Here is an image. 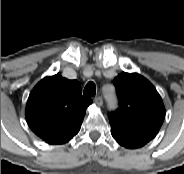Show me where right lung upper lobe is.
<instances>
[{"instance_id":"right-lung-upper-lobe-1","label":"right lung upper lobe","mask_w":184,"mask_h":174,"mask_svg":"<svg viewBox=\"0 0 184 174\" xmlns=\"http://www.w3.org/2000/svg\"><path fill=\"white\" fill-rule=\"evenodd\" d=\"M92 100L82 96L77 80L57 73L42 79L31 91L26 121L31 130L49 144H63L80 130Z\"/></svg>"}]
</instances>
